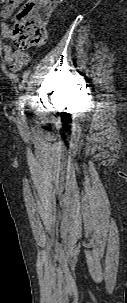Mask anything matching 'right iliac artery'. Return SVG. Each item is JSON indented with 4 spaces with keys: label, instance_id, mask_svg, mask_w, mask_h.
Returning <instances> with one entry per match:
<instances>
[{
    "label": "right iliac artery",
    "instance_id": "1",
    "mask_svg": "<svg viewBox=\"0 0 127 303\" xmlns=\"http://www.w3.org/2000/svg\"><path fill=\"white\" fill-rule=\"evenodd\" d=\"M25 99H26V96H25L24 94H22V95L19 97V101H18V110L20 111V115H21V116H23Z\"/></svg>",
    "mask_w": 127,
    "mask_h": 303
}]
</instances>
